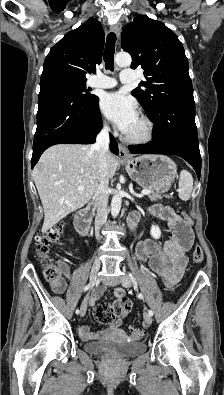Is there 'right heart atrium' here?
<instances>
[{"label": "right heart atrium", "mask_w": 224, "mask_h": 395, "mask_svg": "<svg viewBox=\"0 0 224 395\" xmlns=\"http://www.w3.org/2000/svg\"><path fill=\"white\" fill-rule=\"evenodd\" d=\"M103 126H104V127H107V124H106V122H103Z\"/></svg>", "instance_id": "obj_1"}]
</instances>
